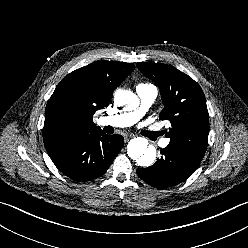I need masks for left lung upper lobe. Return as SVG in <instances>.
<instances>
[{"mask_svg":"<svg viewBox=\"0 0 248 248\" xmlns=\"http://www.w3.org/2000/svg\"><path fill=\"white\" fill-rule=\"evenodd\" d=\"M137 67L160 88L164 104L160 119L171 123L166 134L170 138L167 147L199 165L209 134V115L199 84L171 65L137 63Z\"/></svg>","mask_w":248,"mask_h":248,"instance_id":"left-lung-upper-lobe-1","label":"left lung upper lobe"}]
</instances>
